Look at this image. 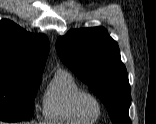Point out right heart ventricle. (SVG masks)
Wrapping results in <instances>:
<instances>
[{"label": "right heart ventricle", "mask_w": 156, "mask_h": 124, "mask_svg": "<svg viewBox=\"0 0 156 124\" xmlns=\"http://www.w3.org/2000/svg\"><path fill=\"white\" fill-rule=\"evenodd\" d=\"M83 91L75 77L65 69H58L47 86L43 113L47 120L65 124H90L98 118H85L77 110L75 100Z\"/></svg>", "instance_id": "1"}]
</instances>
